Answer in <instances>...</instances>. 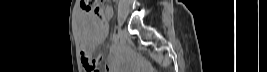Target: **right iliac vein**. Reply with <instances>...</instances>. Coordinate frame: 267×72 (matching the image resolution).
I'll use <instances>...</instances> for the list:
<instances>
[{
    "label": "right iliac vein",
    "mask_w": 267,
    "mask_h": 72,
    "mask_svg": "<svg viewBox=\"0 0 267 72\" xmlns=\"http://www.w3.org/2000/svg\"><path fill=\"white\" fill-rule=\"evenodd\" d=\"M118 36L120 38V41L123 42L124 41V33L122 31V29L118 28Z\"/></svg>",
    "instance_id": "right-iliac-vein-1"
}]
</instances>
